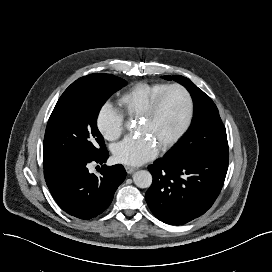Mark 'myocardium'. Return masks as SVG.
Instances as JSON below:
<instances>
[{
    "label": "myocardium",
    "instance_id": "1",
    "mask_svg": "<svg viewBox=\"0 0 272 272\" xmlns=\"http://www.w3.org/2000/svg\"><path fill=\"white\" fill-rule=\"evenodd\" d=\"M172 90H178L184 95L186 100V115L180 128L164 144L160 146L161 150H166L172 147L185 134L192 122L194 115V101L189 90L181 84H172L168 85L151 101L145 112L141 115V118H153L158 112L166 95Z\"/></svg>",
    "mask_w": 272,
    "mask_h": 272
}]
</instances>
